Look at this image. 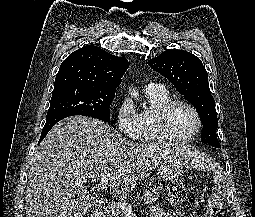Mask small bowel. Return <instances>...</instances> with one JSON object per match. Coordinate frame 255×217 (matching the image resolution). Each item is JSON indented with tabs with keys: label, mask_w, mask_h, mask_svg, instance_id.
Listing matches in <instances>:
<instances>
[{
	"label": "small bowel",
	"mask_w": 255,
	"mask_h": 217,
	"mask_svg": "<svg viewBox=\"0 0 255 217\" xmlns=\"http://www.w3.org/2000/svg\"><path fill=\"white\" fill-rule=\"evenodd\" d=\"M220 208H221V205L219 207V210ZM208 212L210 215L215 214V213H212L209 208H208ZM151 217H174V216L170 213L163 212L159 206H153L151 209Z\"/></svg>",
	"instance_id": "1"
}]
</instances>
